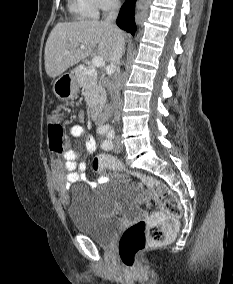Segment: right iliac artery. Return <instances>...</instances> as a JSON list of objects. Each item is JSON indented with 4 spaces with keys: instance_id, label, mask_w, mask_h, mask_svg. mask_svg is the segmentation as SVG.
Listing matches in <instances>:
<instances>
[{
    "instance_id": "82829eb1",
    "label": "right iliac artery",
    "mask_w": 233,
    "mask_h": 284,
    "mask_svg": "<svg viewBox=\"0 0 233 284\" xmlns=\"http://www.w3.org/2000/svg\"><path fill=\"white\" fill-rule=\"evenodd\" d=\"M107 131H108V128L105 127V126L98 128V133H100V134H104V133H106Z\"/></svg>"
}]
</instances>
